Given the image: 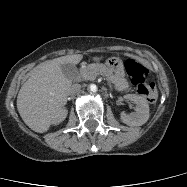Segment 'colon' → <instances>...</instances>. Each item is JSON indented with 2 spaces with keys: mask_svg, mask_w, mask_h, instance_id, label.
<instances>
[{
  "mask_svg": "<svg viewBox=\"0 0 187 187\" xmlns=\"http://www.w3.org/2000/svg\"><path fill=\"white\" fill-rule=\"evenodd\" d=\"M125 69L135 85L137 92L149 102H155L157 92L154 83L147 79V68L143 63L135 59L125 62Z\"/></svg>",
  "mask_w": 187,
  "mask_h": 187,
  "instance_id": "1",
  "label": "colon"
}]
</instances>
